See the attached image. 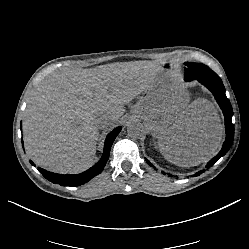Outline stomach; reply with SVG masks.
<instances>
[{
    "mask_svg": "<svg viewBox=\"0 0 249 249\" xmlns=\"http://www.w3.org/2000/svg\"><path fill=\"white\" fill-rule=\"evenodd\" d=\"M151 90L143 93L139 103V112L144 124L153 130H162L171 126L182 113L189 98L178 75L173 72L171 62L163 63Z\"/></svg>",
    "mask_w": 249,
    "mask_h": 249,
    "instance_id": "obj_1",
    "label": "stomach"
}]
</instances>
